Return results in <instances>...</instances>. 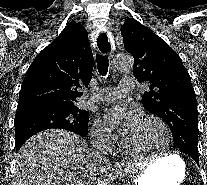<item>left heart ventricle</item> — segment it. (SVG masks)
<instances>
[{"label":"left heart ventricle","instance_id":"obj_1","mask_svg":"<svg viewBox=\"0 0 207 185\" xmlns=\"http://www.w3.org/2000/svg\"><path fill=\"white\" fill-rule=\"evenodd\" d=\"M131 148L141 152H160L166 146L162 128L154 121L140 119L125 133Z\"/></svg>","mask_w":207,"mask_h":185}]
</instances>
